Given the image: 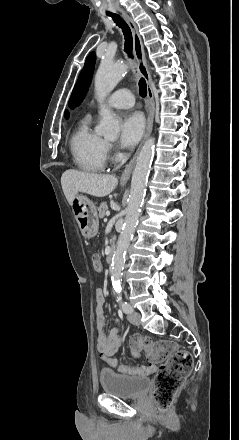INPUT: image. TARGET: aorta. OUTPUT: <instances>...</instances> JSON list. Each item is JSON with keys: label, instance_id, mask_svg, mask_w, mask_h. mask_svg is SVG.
<instances>
[{"label": "aorta", "instance_id": "762f6f07", "mask_svg": "<svg viewBox=\"0 0 239 440\" xmlns=\"http://www.w3.org/2000/svg\"><path fill=\"white\" fill-rule=\"evenodd\" d=\"M126 70V64H114V62L102 60L96 72L95 94L98 102H100L99 114L102 120L99 126H96L95 132L98 136H104L106 140H118L120 128L117 116L111 110L105 108L102 102L114 90L115 86L121 82ZM153 150L154 138H149L137 156L136 166L132 174L125 224L118 238L117 248L112 258L111 280L115 286H120L126 252L140 216Z\"/></svg>", "mask_w": 239, "mask_h": 440}]
</instances>
